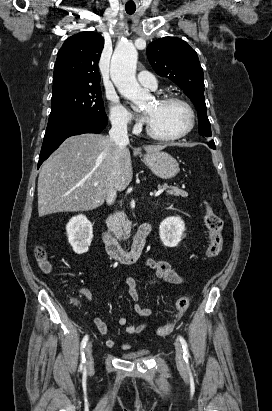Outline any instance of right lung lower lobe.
<instances>
[{"instance_id": "obj_1", "label": "right lung lower lobe", "mask_w": 272, "mask_h": 411, "mask_svg": "<svg viewBox=\"0 0 272 411\" xmlns=\"http://www.w3.org/2000/svg\"><path fill=\"white\" fill-rule=\"evenodd\" d=\"M107 125V120L78 118L58 127L46 130L38 168L68 137L82 133H100Z\"/></svg>"}]
</instances>
